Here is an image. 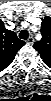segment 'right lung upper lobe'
<instances>
[{"label": "right lung upper lobe", "instance_id": "1", "mask_svg": "<svg viewBox=\"0 0 51 101\" xmlns=\"http://www.w3.org/2000/svg\"><path fill=\"white\" fill-rule=\"evenodd\" d=\"M25 44L13 31L7 30L0 21V71L15 58L17 51Z\"/></svg>", "mask_w": 51, "mask_h": 101}]
</instances>
